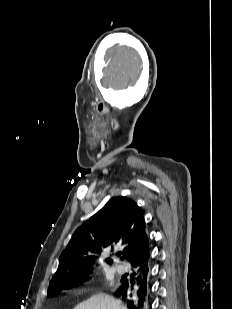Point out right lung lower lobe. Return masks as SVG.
<instances>
[{"label":"right lung lower lobe","instance_id":"right-lung-lower-lobe-1","mask_svg":"<svg viewBox=\"0 0 232 309\" xmlns=\"http://www.w3.org/2000/svg\"><path fill=\"white\" fill-rule=\"evenodd\" d=\"M149 259L150 253L132 264L134 276L122 278L121 286L114 293L129 309H149Z\"/></svg>","mask_w":232,"mask_h":309}]
</instances>
